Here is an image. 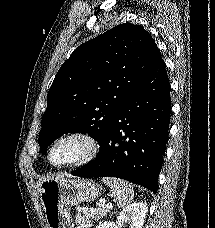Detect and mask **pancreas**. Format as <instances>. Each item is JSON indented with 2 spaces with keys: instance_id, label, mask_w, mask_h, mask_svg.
<instances>
[{
  "instance_id": "cf45deb5",
  "label": "pancreas",
  "mask_w": 215,
  "mask_h": 228,
  "mask_svg": "<svg viewBox=\"0 0 215 228\" xmlns=\"http://www.w3.org/2000/svg\"><path fill=\"white\" fill-rule=\"evenodd\" d=\"M109 210L106 208H91L89 212H84L82 216L81 212H78L75 216V224H87V226H92V220H101L104 216H107Z\"/></svg>"
}]
</instances>
